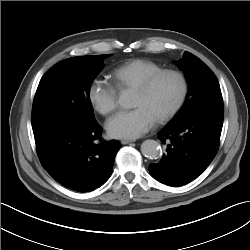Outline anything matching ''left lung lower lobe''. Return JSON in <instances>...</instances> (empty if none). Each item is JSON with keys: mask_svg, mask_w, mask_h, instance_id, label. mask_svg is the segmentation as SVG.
Returning a JSON list of instances; mask_svg holds the SVG:
<instances>
[{"mask_svg": "<svg viewBox=\"0 0 250 250\" xmlns=\"http://www.w3.org/2000/svg\"><path fill=\"white\" fill-rule=\"evenodd\" d=\"M223 115V105H217L163 128L158 138L167 146L166 153L149 165L152 177L169 186L197 178L217 154Z\"/></svg>", "mask_w": 250, "mask_h": 250, "instance_id": "obj_1", "label": "left lung lower lobe"}]
</instances>
